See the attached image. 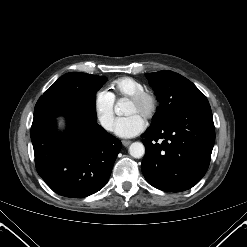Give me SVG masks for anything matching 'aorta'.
<instances>
[{
  "mask_svg": "<svg viewBox=\"0 0 247 247\" xmlns=\"http://www.w3.org/2000/svg\"><path fill=\"white\" fill-rule=\"evenodd\" d=\"M123 104V100L117 102L115 106V112L119 114L121 112V106ZM129 153L134 158H141L145 154V147L140 142H134L129 147Z\"/></svg>",
  "mask_w": 247,
  "mask_h": 247,
  "instance_id": "1",
  "label": "aorta"
}]
</instances>
